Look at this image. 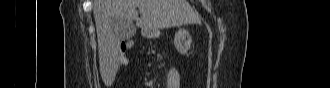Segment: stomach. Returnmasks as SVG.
I'll return each instance as SVG.
<instances>
[{
	"instance_id": "0dacf381",
	"label": "stomach",
	"mask_w": 330,
	"mask_h": 88,
	"mask_svg": "<svg viewBox=\"0 0 330 88\" xmlns=\"http://www.w3.org/2000/svg\"><path fill=\"white\" fill-rule=\"evenodd\" d=\"M157 36V30L151 31L148 33L147 37L153 38ZM174 44L177 50L185 54L189 51L191 47V36L185 29H180L174 38Z\"/></svg>"
}]
</instances>
